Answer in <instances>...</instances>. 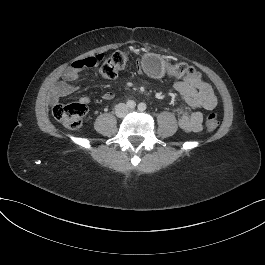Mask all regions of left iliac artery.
<instances>
[{
    "mask_svg": "<svg viewBox=\"0 0 265 265\" xmlns=\"http://www.w3.org/2000/svg\"><path fill=\"white\" fill-rule=\"evenodd\" d=\"M138 109H139L140 111H145V110L147 109V105H146L145 103H140V104L138 105Z\"/></svg>",
    "mask_w": 265,
    "mask_h": 265,
    "instance_id": "obj_1",
    "label": "left iliac artery"
}]
</instances>
